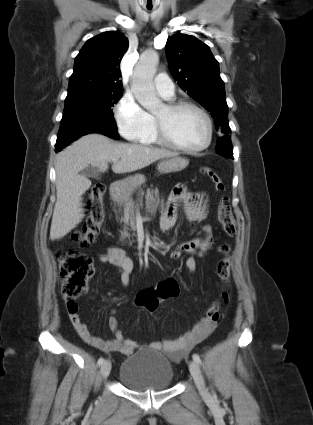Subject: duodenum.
Returning a JSON list of instances; mask_svg holds the SVG:
<instances>
[{"label":"duodenum","mask_w":313,"mask_h":425,"mask_svg":"<svg viewBox=\"0 0 313 425\" xmlns=\"http://www.w3.org/2000/svg\"><path fill=\"white\" fill-rule=\"evenodd\" d=\"M120 187L118 183H112L110 185V194L112 199H115L119 193Z\"/></svg>","instance_id":"1"}]
</instances>
